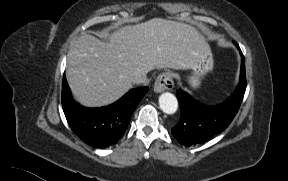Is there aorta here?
Returning a JSON list of instances; mask_svg holds the SVG:
<instances>
[{
	"label": "aorta",
	"instance_id": "1",
	"mask_svg": "<svg viewBox=\"0 0 288 181\" xmlns=\"http://www.w3.org/2000/svg\"><path fill=\"white\" fill-rule=\"evenodd\" d=\"M159 106L164 113L174 114L178 108L177 98L172 93H162L159 96Z\"/></svg>",
	"mask_w": 288,
	"mask_h": 181
}]
</instances>
